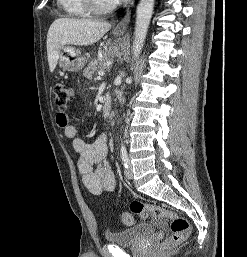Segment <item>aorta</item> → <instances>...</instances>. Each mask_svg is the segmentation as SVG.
<instances>
[{
  "label": "aorta",
  "instance_id": "762f6f07",
  "mask_svg": "<svg viewBox=\"0 0 247 257\" xmlns=\"http://www.w3.org/2000/svg\"><path fill=\"white\" fill-rule=\"evenodd\" d=\"M154 0H140L136 10V24L132 45L133 57L138 58L146 39L153 14Z\"/></svg>",
  "mask_w": 247,
  "mask_h": 257
}]
</instances>
